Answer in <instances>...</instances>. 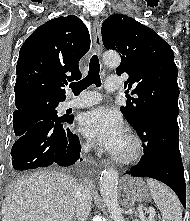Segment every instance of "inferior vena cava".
Wrapping results in <instances>:
<instances>
[{
    "mask_svg": "<svg viewBox=\"0 0 190 221\" xmlns=\"http://www.w3.org/2000/svg\"><path fill=\"white\" fill-rule=\"evenodd\" d=\"M88 144L84 146V151L88 152ZM76 198V216L78 221H86L92 205V196L89 188L83 185H77L75 190Z\"/></svg>",
    "mask_w": 190,
    "mask_h": 221,
    "instance_id": "602c4592",
    "label": "inferior vena cava"
}]
</instances>
